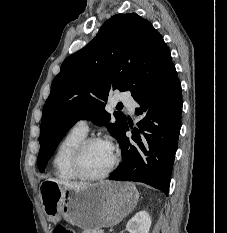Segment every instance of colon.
Returning a JSON list of instances; mask_svg holds the SVG:
<instances>
[{"label":"colon","instance_id":"obj_1","mask_svg":"<svg viewBox=\"0 0 227 233\" xmlns=\"http://www.w3.org/2000/svg\"><path fill=\"white\" fill-rule=\"evenodd\" d=\"M53 233H75L72 229L65 226H56Z\"/></svg>","mask_w":227,"mask_h":233}]
</instances>
